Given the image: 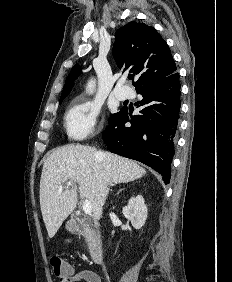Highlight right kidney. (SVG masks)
Returning <instances> with one entry per match:
<instances>
[{"mask_svg": "<svg viewBox=\"0 0 232 282\" xmlns=\"http://www.w3.org/2000/svg\"><path fill=\"white\" fill-rule=\"evenodd\" d=\"M122 212L135 229H140L147 219V206L144 198L141 195L132 197L128 205L123 207Z\"/></svg>", "mask_w": 232, "mask_h": 282, "instance_id": "right-kidney-1", "label": "right kidney"}]
</instances>
